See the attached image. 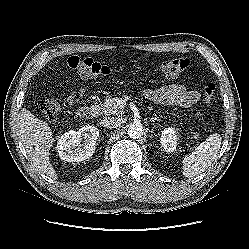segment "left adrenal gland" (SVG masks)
<instances>
[{"instance_id":"a2214340","label":"left adrenal gland","mask_w":249,"mask_h":249,"mask_svg":"<svg viewBox=\"0 0 249 249\" xmlns=\"http://www.w3.org/2000/svg\"><path fill=\"white\" fill-rule=\"evenodd\" d=\"M155 121H160L159 117L155 116V117L151 118V122H153V124Z\"/></svg>"}]
</instances>
